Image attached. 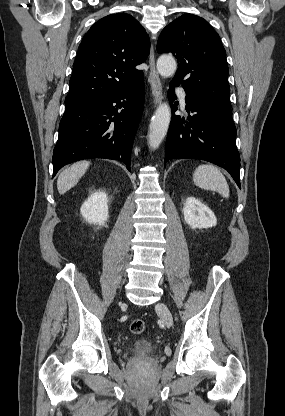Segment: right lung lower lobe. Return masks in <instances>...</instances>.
Returning a JSON list of instances; mask_svg holds the SVG:
<instances>
[{"mask_svg":"<svg viewBox=\"0 0 285 416\" xmlns=\"http://www.w3.org/2000/svg\"><path fill=\"white\" fill-rule=\"evenodd\" d=\"M143 104L142 78L108 99L66 109L53 152V177L64 165L89 158L119 160L130 171Z\"/></svg>","mask_w":285,"mask_h":416,"instance_id":"98d812e1","label":"right lung lower lobe"}]
</instances>
